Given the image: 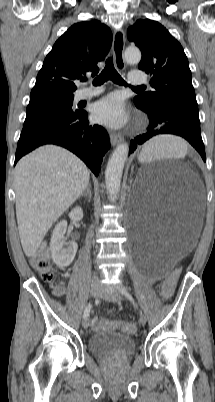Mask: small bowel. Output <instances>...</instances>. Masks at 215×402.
<instances>
[{
  "mask_svg": "<svg viewBox=\"0 0 215 402\" xmlns=\"http://www.w3.org/2000/svg\"><path fill=\"white\" fill-rule=\"evenodd\" d=\"M58 291L61 292V291H62V287H58Z\"/></svg>",
  "mask_w": 215,
  "mask_h": 402,
  "instance_id": "small-bowel-1",
  "label": "small bowel"
}]
</instances>
